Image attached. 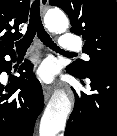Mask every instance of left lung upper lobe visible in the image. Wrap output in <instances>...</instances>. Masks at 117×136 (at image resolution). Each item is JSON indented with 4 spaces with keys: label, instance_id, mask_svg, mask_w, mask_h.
<instances>
[{
    "label": "left lung upper lobe",
    "instance_id": "obj_1",
    "mask_svg": "<svg viewBox=\"0 0 117 136\" xmlns=\"http://www.w3.org/2000/svg\"><path fill=\"white\" fill-rule=\"evenodd\" d=\"M70 18L71 32L82 35L83 51L89 61H78L68 68L84 77L93 67L117 65V4L115 0H49Z\"/></svg>",
    "mask_w": 117,
    "mask_h": 136
}]
</instances>
